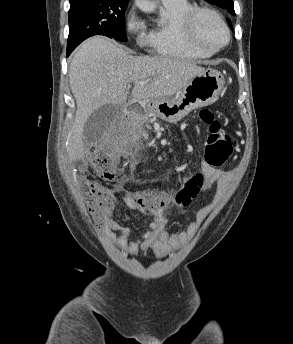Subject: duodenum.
<instances>
[{
	"mask_svg": "<svg viewBox=\"0 0 293 344\" xmlns=\"http://www.w3.org/2000/svg\"><path fill=\"white\" fill-rule=\"evenodd\" d=\"M141 110H142V108L139 107L138 112H141ZM125 112H126V117L131 116V115H136L138 113V112H134V110H132L130 105L126 107Z\"/></svg>",
	"mask_w": 293,
	"mask_h": 344,
	"instance_id": "410a0bca",
	"label": "duodenum"
}]
</instances>
